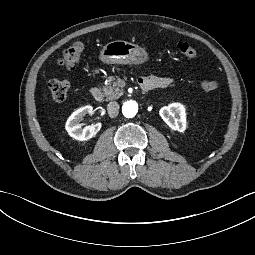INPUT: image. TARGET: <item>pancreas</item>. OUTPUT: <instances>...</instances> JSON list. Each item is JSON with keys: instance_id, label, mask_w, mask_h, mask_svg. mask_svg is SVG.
<instances>
[{"instance_id": "obj_1", "label": "pancreas", "mask_w": 255, "mask_h": 255, "mask_svg": "<svg viewBox=\"0 0 255 255\" xmlns=\"http://www.w3.org/2000/svg\"><path fill=\"white\" fill-rule=\"evenodd\" d=\"M118 77L109 76L107 83L103 86V96L107 101L118 99L123 95V89L118 86Z\"/></svg>"}]
</instances>
